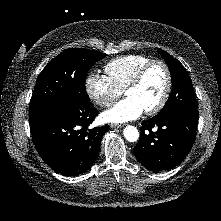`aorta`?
<instances>
[{
    "mask_svg": "<svg viewBox=\"0 0 221 221\" xmlns=\"http://www.w3.org/2000/svg\"><path fill=\"white\" fill-rule=\"evenodd\" d=\"M125 139L129 142H135L139 139L138 129L134 126L128 125L123 130Z\"/></svg>",
    "mask_w": 221,
    "mask_h": 221,
    "instance_id": "aorta-1",
    "label": "aorta"
}]
</instances>
